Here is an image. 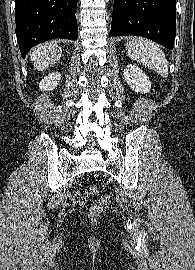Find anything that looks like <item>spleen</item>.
Returning a JSON list of instances; mask_svg holds the SVG:
<instances>
[{
    "mask_svg": "<svg viewBox=\"0 0 195 270\" xmlns=\"http://www.w3.org/2000/svg\"><path fill=\"white\" fill-rule=\"evenodd\" d=\"M127 54L135 61L154 70L163 77L168 76V62L163 51L153 42L135 38L126 43Z\"/></svg>",
    "mask_w": 195,
    "mask_h": 270,
    "instance_id": "obj_1",
    "label": "spleen"
}]
</instances>
